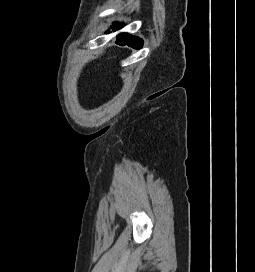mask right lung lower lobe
Masks as SVG:
<instances>
[{
	"label": "right lung lower lobe",
	"mask_w": 255,
	"mask_h": 272,
	"mask_svg": "<svg viewBox=\"0 0 255 272\" xmlns=\"http://www.w3.org/2000/svg\"><path fill=\"white\" fill-rule=\"evenodd\" d=\"M121 27L122 25L120 23H114L113 30H118ZM116 43L122 46L129 45L133 48H140L142 46V39H140L139 37L128 35L126 33H122L117 36Z\"/></svg>",
	"instance_id": "1"
}]
</instances>
